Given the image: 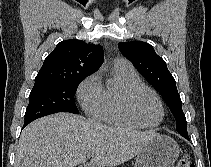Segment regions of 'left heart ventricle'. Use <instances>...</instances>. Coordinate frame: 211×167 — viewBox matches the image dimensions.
<instances>
[{
	"label": "left heart ventricle",
	"instance_id": "b2bd125f",
	"mask_svg": "<svg viewBox=\"0 0 211 167\" xmlns=\"http://www.w3.org/2000/svg\"><path fill=\"white\" fill-rule=\"evenodd\" d=\"M132 108L135 115L145 124H155L160 120L161 110L155 97L141 91L132 100Z\"/></svg>",
	"mask_w": 211,
	"mask_h": 167
}]
</instances>
